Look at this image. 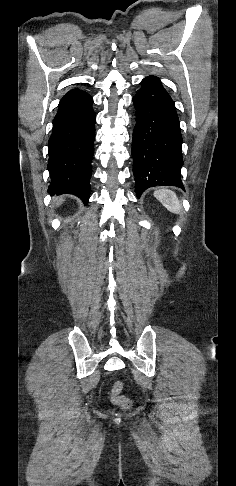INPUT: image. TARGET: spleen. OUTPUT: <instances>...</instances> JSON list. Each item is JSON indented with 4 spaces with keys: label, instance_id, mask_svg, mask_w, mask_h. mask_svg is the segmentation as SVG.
<instances>
[{
    "label": "spleen",
    "instance_id": "1",
    "mask_svg": "<svg viewBox=\"0 0 236 486\" xmlns=\"http://www.w3.org/2000/svg\"><path fill=\"white\" fill-rule=\"evenodd\" d=\"M154 196L168 211L176 214L180 213L181 204L173 191L168 189H159L154 192Z\"/></svg>",
    "mask_w": 236,
    "mask_h": 486
}]
</instances>
